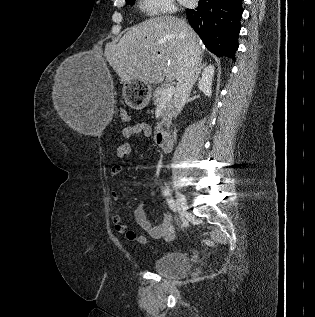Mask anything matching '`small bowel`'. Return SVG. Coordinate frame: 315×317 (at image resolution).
Listing matches in <instances>:
<instances>
[{"instance_id":"obj_1","label":"small bowel","mask_w":315,"mask_h":317,"mask_svg":"<svg viewBox=\"0 0 315 317\" xmlns=\"http://www.w3.org/2000/svg\"><path fill=\"white\" fill-rule=\"evenodd\" d=\"M151 134V127L145 122L134 123L123 128L122 130V136L124 138H130L134 135L150 137ZM132 153L133 146L128 142L119 145L115 150V155L118 158L130 156ZM122 172L123 167L117 164L111 168L110 176L116 177ZM112 198L117 201L120 199V194L114 191L112 192ZM111 220L114 230L121 234L125 239L129 241H135L139 244L147 243V237L144 234L131 230L126 224L122 222V217L120 214H113ZM135 221L144 232L154 239H170L173 236L174 227L172 223V216L169 212L165 213L162 221L159 224L153 225L147 218L143 204H140L135 210Z\"/></svg>"}]
</instances>
